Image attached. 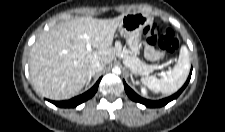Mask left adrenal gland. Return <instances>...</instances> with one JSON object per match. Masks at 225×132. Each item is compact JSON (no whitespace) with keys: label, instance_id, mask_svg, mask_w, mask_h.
Listing matches in <instances>:
<instances>
[{"label":"left adrenal gland","instance_id":"1","mask_svg":"<svg viewBox=\"0 0 225 132\" xmlns=\"http://www.w3.org/2000/svg\"><path fill=\"white\" fill-rule=\"evenodd\" d=\"M130 78H131V81H132L133 84H138V82H136V81L134 80L132 74H130Z\"/></svg>","mask_w":225,"mask_h":132}]
</instances>
